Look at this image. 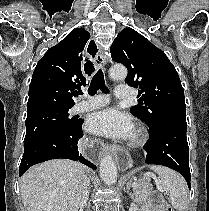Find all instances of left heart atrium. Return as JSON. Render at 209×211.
Wrapping results in <instances>:
<instances>
[{
  "label": "left heart atrium",
  "mask_w": 209,
  "mask_h": 211,
  "mask_svg": "<svg viewBox=\"0 0 209 211\" xmlns=\"http://www.w3.org/2000/svg\"><path fill=\"white\" fill-rule=\"evenodd\" d=\"M87 129L93 134L116 140H127L134 134L131 117L116 108H107L91 114L87 121Z\"/></svg>",
  "instance_id": "39dd6f15"
}]
</instances>
